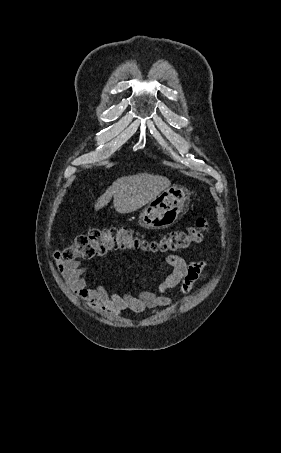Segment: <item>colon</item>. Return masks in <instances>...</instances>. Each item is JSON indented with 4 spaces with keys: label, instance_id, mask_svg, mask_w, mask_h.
Returning <instances> with one entry per match:
<instances>
[{
    "label": "colon",
    "instance_id": "obj_1",
    "mask_svg": "<svg viewBox=\"0 0 281 453\" xmlns=\"http://www.w3.org/2000/svg\"><path fill=\"white\" fill-rule=\"evenodd\" d=\"M209 229L205 218L185 230L159 231L158 241L151 246V255H162L163 252H186L198 244ZM146 232L137 226H96L87 233L77 235L71 246L63 252L66 262L89 261L104 257L112 251L125 247H137Z\"/></svg>",
    "mask_w": 281,
    "mask_h": 453
}]
</instances>
